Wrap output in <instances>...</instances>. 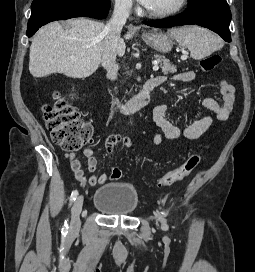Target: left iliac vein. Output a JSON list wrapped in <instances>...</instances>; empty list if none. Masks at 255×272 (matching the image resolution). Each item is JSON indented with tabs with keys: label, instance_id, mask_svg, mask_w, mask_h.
Wrapping results in <instances>:
<instances>
[{
	"label": "left iliac vein",
	"instance_id": "obj_1",
	"mask_svg": "<svg viewBox=\"0 0 255 272\" xmlns=\"http://www.w3.org/2000/svg\"><path fill=\"white\" fill-rule=\"evenodd\" d=\"M161 228L162 230L166 231L168 229L167 222L164 218L161 219Z\"/></svg>",
	"mask_w": 255,
	"mask_h": 272
}]
</instances>
